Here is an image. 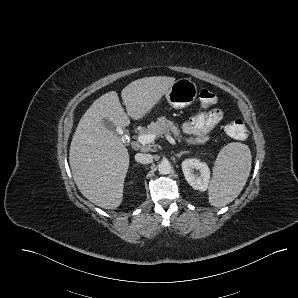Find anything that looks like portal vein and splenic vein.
<instances>
[{"mask_svg":"<svg viewBox=\"0 0 298 298\" xmlns=\"http://www.w3.org/2000/svg\"><path fill=\"white\" fill-rule=\"evenodd\" d=\"M159 135L157 133H154V132H149V133H146V134H141L138 136V139H139V142L142 143V144H150V143H154L157 139H158ZM163 137L171 144H174L175 143V140L174 138L165 133L163 135Z\"/></svg>","mask_w":298,"mask_h":298,"instance_id":"1","label":"portal vein and splenic vein"}]
</instances>
